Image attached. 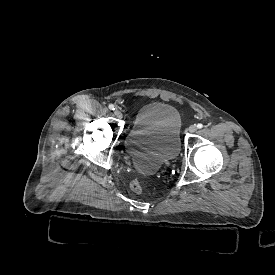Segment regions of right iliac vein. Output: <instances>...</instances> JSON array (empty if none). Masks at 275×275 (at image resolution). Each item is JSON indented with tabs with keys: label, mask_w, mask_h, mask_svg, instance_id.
I'll return each instance as SVG.
<instances>
[{
	"label": "right iliac vein",
	"mask_w": 275,
	"mask_h": 275,
	"mask_svg": "<svg viewBox=\"0 0 275 275\" xmlns=\"http://www.w3.org/2000/svg\"><path fill=\"white\" fill-rule=\"evenodd\" d=\"M115 116H116L117 118H122V113H121L119 110H116V111H115Z\"/></svg>",
	"instance_id": "63e3f726"
}]
</instances>
